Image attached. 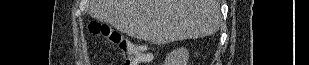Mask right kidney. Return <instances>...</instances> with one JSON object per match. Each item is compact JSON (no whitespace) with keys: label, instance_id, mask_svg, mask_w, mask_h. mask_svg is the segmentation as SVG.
Here are the masks:
<instances>
[{"label":"right kidney","instance_id":"right-kidney-1","mask_svg":"<svg viewBox=\"0 0 309 65\" xmlns=\"http://www.w3.org/2000/svg\"><path fill=\"white\" fill-rule=\"evenodd\" d=\"M189 58L188 49L181 47L168 54L165 65H187Z\"/></svg>","mask_w":309,"mask_h":65}]
</instances>
